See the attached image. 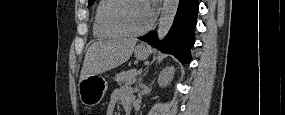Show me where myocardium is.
<instances>
[{
  "instance_id": "obj_1",
  "label": "myocardium",
  "mask_w": 285,
  "mask_h": 115,
  "mask_svg": "<svg viewBox=\"0 0 285 115\" xmlns=\"http://www.w3.org/2000/svg\"><path fill=\"white\" fill-rule=\"evenodd\" d=\"M138 0H114V2L108 6L104 13V21L105 23L117 30L124 36L135 37L146 33L150 28V23L146 24V26L138 31H131L123 26V24L118 20L117 13L123 7L124 4L128 2H133ZM142 2V1H138Z\"/></svg>"
}]
</instances>
